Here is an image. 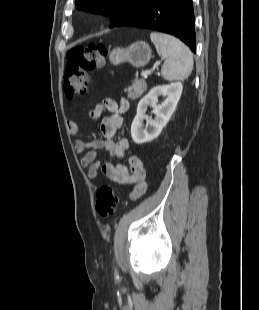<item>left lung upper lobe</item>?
Wrapping results in <instances>:
<instances>
[{"label": "left lung upper lobe", "mask_w": 259, "mask_h": 310, "mask_svg": "<svg viewBox=\"0 0 259 310\" xmlns=\"http://www.w3.org/2000/svg\"><path fill=\"white\" fill-rule=\"evenodd\" d=\"M151 0H75L79 10L108 16L115 26L132 11Z\"/></svg>", "instance_id": "obj_1"}]
</instances>
